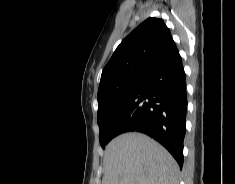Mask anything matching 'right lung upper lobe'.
Listing matches in <instances>:
<instances>
[{"label":"right lung upper lobe","mask_w":235,"mask_h":184,"mask_svg":"<svg viewBox=\"0 0 235 184\" xmlns=\"http://www.w3.org/2000/svg\"><path fill=\"white\" fill-rule=\"evenodd\" d=\"M177 51L164 21L154 17L146 19L120 43L104 67L98 89V103L109 89L133 79H143Z\"/></svg>","instance_id":"1"}]
</instances>
